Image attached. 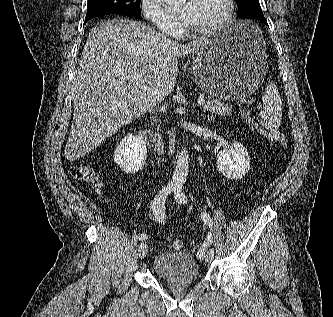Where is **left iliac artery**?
Masks as SVG:
<instances>
[{"instance_id": "1", "label": "left iliac artery", "mask_w": 333, "mask_h": 317, "mask_svg": "<svg viewBox=\"0 0 333 317\" xmlns=\"http://www.w3.org/2000/svg\"><path fill=\"white\" fill-rule=\"evenodd\" d=\"M183 190V185L182 184H177L174 188V197L175 200L178 204H186L187 203V195L182 191ZM201 218L203 220V222L210 228V230L212 231V226H213V221L211 216L204 212L201 215ZM210 231V233L208 234L207 238L205 239L202 247L199 249V251L197 252V257L199 259H203L205 257V251L206 249L212 244L213 242V235L212 232ZM209 251L213 252V249H210Z\"/></svg>"}]
</instances>
